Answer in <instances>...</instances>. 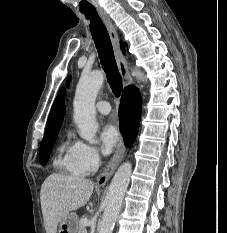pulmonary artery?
<instances>
[{
  "label": "pulmonary artery",
  "mask_w": 227,
  "mask_h": 233,
  "mask_svg": "<svg viewBox=\"0 0 227 233\" xmlns=\"http://www.w3.org/2000/svg\"><path fill=\"white\" fill-rule=\"evenodd\" d=\"M97 111L102 115H108L111 111V106L107 101H99L96 104Z\"/></svg>",
  "instance_id": "1"
}]
</instances>
